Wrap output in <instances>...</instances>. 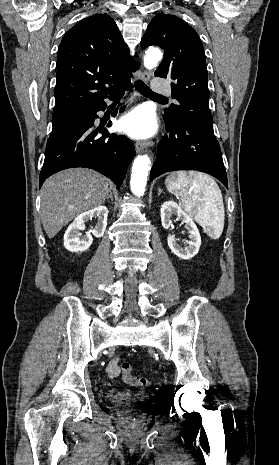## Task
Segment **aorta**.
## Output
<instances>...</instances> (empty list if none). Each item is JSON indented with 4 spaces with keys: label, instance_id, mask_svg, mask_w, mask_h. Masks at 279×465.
Masks as SVG:
<instances>
[{
    "label": "aorta",
    "instance_id": "1",
    "mask_svg": "<svg viewBox=\"0 0 279 465\" xmlns=\"http://www.w3.org/2000/svg\"><path fill=\"white\" fill-rule=\"evenodd\" d=\"M161 59L162 53L160 50L150 49L144 57V66L147 69H153ZM150 163V159L147 155H140L134 160L130 188L132 193L138 197L144 195Z\"/></svg>",
    "mask_w": 279,
    "mask_h": 465
}]
</instances>
